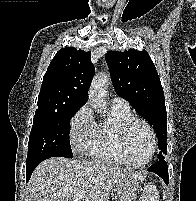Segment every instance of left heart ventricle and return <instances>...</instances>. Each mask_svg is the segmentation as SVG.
Wrapping results in <instances>:
<instances>
[{
  "label": "left heart ventricle",
  "mask_w": 196,
  "mask_h": 201,
  "mask_svg": "<svg viewBox=\"0 0 196 201\" xmlns=\"http://www.w3.org/2000/svg\"><path fill=\"white\" fill-rule=\"evenodd\" d=\"M152 147L151 136L141 124L132 127L128 135V148L132 161L139 163L147 159Z\"/></svg>",
  "instance_id": "1"
}]
</instances>
